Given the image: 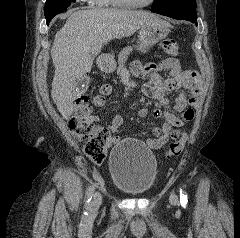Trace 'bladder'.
I'll return each instance as SVG.
<instances>
[{
	"label": "bladder",
	"mask_w": 240,
	"mask_h": 238,
	"mask_svg": "<svg viewBox=\"0 0 240 238\" xmlns=\"http://www.w3.org/2000/svg\"><path fill=\"white\" fill-rule=\"evenodd\" d=\"M109 173L118 190L133 196L144 195L157 177L156 156L140 141L122 140L110 151Z\"/></svg>",
	"instance_id": "1"
}]
</instances>
